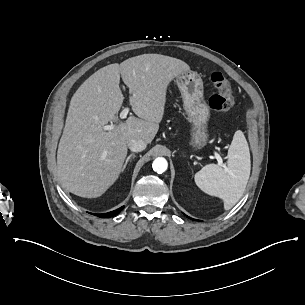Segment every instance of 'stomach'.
<instances>
[{"label":"stomach","mask_w":305,"mask_h":305,"mask_svg":"<svg viewBox=\"0 0 305 305\" xmlns=\"http://www.w3.org/2000/svg\"><path fill=\"white\" fill-rule=\"evenodd\" d=\"M176 83L190 123L187 146L192 152L198 153L207 146L208 122L211 116V108L204 99L203 80L197 72H188L178 76Z\"/></svg>","instance_id":"stomach-1"}]
</instances>
